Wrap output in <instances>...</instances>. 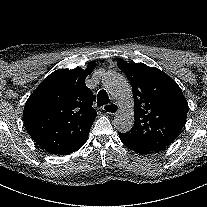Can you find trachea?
Wrapping results in <instances>:
<instances>
[{"mask_svg":"<svg viewBox=\"0 0 207 207\" xmlns=\"http://www.w3.org/2000/svg\"><path fill=\"white\" fill-rule=\"evenodd\" d=\"M107 103H109V97H108L106 91L100 90L98 93V96H97V105L102 106ZM106 107H108V106L106 105Z\"/></svg>","mask_w":207,"mask_h":207,"instance_id":"3493384b","label":"trachea"}]
</instances>
